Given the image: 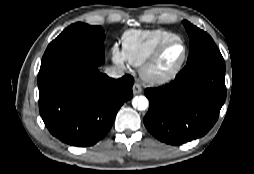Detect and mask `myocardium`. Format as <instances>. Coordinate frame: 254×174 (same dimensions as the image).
<instances>
[{"label":"myocardium","mask_w":254,"mask_h":174,"mask_svg":"<svg viewBox=\"0 0 254 174\" xmlns=\"http://www.w3.org/2000/svg\"><path fill=\"white\" fill-rule=\"evenodd\" d=\"M180 43L183 46L184 52L181 60L170 70L165 72H158L157 65L164 51L171 45ZM188 56V48L186 43L179 37L167 40L161 43L142 64L140 74L146 82L161 85L173 80L181 71Z\"/></svg>","instance_id":"f54148a6"}]
</instances>
